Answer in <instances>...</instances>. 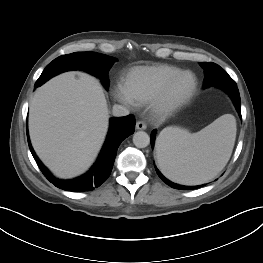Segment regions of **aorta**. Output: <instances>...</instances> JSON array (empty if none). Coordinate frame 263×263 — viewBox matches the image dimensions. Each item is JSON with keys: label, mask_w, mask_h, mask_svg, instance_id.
<instances>
[{"label": "aorta", "mask_w": 263, "mask_h": 263, "mask_svg": "<svg viewBox=\"0 0 263 263\" xmlns=\"http://www.w3.org/2000/svg\"><path fill=\"white\" fill-rule=\"evenodd\" d=\"M133 143L137 148H145L150 143V137L146 132L138 131L133 135Z\"/></svg>", "instance_id": "aorta-1"}]
</instances>
